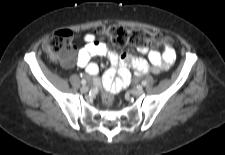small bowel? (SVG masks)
<instances>
[{
  "label": "small bowel",
  "mask_w": 225,
  "mask_h": 155,
  "mask_svg": "<svg viewBox=\"0 0 225 155\" xmlns=\"http://www.w3.org/2000/svg\"><path fill=\"white\" fill-rule=\"evenodd\" d=\"M82 45L83 47L77 54L76 64L84 68L89 75L95 77L94 83L97 86H102L104 91H110L112 94L126 86L130 81V67L139 74L148 72L158 74L168 69L175 60V51L171 46L163 47L162 51L149 49L147 46L139 47V52L147 54L148 60L127 53L118 54L106 44L97 41V37L93 33L83 35ZM95 56L106 57L111 64L101 79L98 78L99 66L91 62V58ZM64 65L71 67L73 62H64ZM115 76L118 78L115 79Z\"/></svg>",
  "instance_id": "1"
}]
</instances>
